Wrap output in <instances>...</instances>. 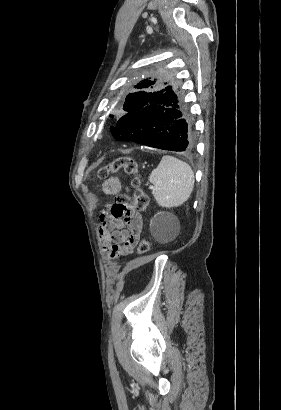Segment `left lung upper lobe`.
Listing matches in <instances>:
<instances>
[{
	"label": "left lung upper lobe",
	"instance_id": "5c2ea615",
	"mask_svg": "<svg viewBox=\"0 0 281 410\" xmlns=\"http://www.w3.org/2000/svg\"><path fill=\"white\" fill-rule=\"evenodd\" d=\"M173 83L174 78L165 70H162L156 72L150 78L145 79L141 83L137 84L135 88L142 90L130 93L126 97L123 106V110L127 112L126 115L133 114L144 108L157 91H160L167 86H171V84ZM111 129H115V127H111L110 130ZM112 134L114 138L118 136V133L116 131H113Z\"/></svg>",
	"mask_w": 281,
	"mask_h": 410
}]
</instances>
